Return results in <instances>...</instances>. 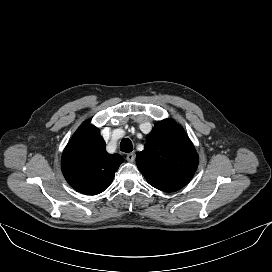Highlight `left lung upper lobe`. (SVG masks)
I'll use <instances>...</instances> for the list:
<instances>
[{
	"label": "left lung upper lobe",
	"instance_id": "obj_1",
	"mask_svg": "<svg viewBox=\"0 0 272 272\" xmlns=\"http://www.w3.org/2000/svg\"><path fill=\"white\" fill-rule=\"evenodd\" d=\"M136 163L150 185L174 192L191 180L199 157L183 128L165 119L147 135L145 149L137 154Z\"/></svg>",
	"mask_w": 272,
	"mask_h": 272
}]
</instances>
